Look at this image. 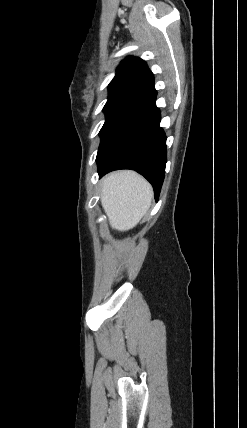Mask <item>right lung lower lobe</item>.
Segmentation results:
<instances>
[{"instance_id":"1","label":"right lung lower lobe","mask_w":247,"mask_h":428,"mask_svg":"<svg viewBox=\"0 0 247 428\" xmlns=\"http://www.w3.org/2000/svg\"><path fill=\"white\" fill-rule=\"evenodd\" d=\"M153 87L133 100L105 129L97 154L102 177L117 169H132L153 186L158 200L166 165V136Z\"/></svg>"}]
</instances>
